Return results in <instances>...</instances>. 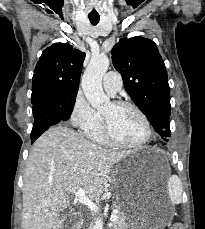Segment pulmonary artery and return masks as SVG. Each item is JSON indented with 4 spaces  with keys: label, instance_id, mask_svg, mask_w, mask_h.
Segmentation results:
<instances>
[{
    "label": "pulmonary artery",
    "instance_id": "e3ab8cb5",
    "mask_svg": "<svg viewBox=\"0 0 205 229\" xmlns=\"http://www.w3.org/2000/svg\"><path fill=\"white\" fill-rule=\"evenodd\" d=\"M122 86L121 75L116 71L107 72L103 77V88L110 95H115Z\"/></svg>",
    "mask_w": 205,
    "mask_h": 229
}]
</instances>
